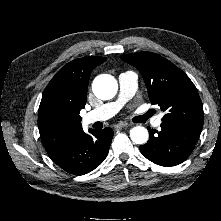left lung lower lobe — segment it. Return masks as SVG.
<instances>
[{"instance_id":"obj_1","label":"left lung lower lobe","mask_w":221,"mask_h":221,"mask_svg":"<svg viewBox=\"0 0 221 221\" xmlns=\"http://www.w3.org/2000/svg\"><path fill=\"white\" fill-rule=\"evenodd\" d=\"M201 129L197 124L162 122L160 131L148 128L149 141L140 146V151L158 165H178L191 154Z\"/></svg>"}]
</instances>
